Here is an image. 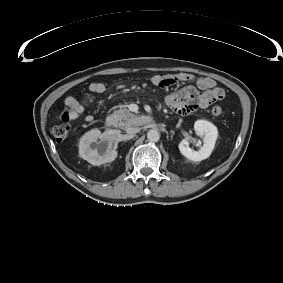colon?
<instances>
[{
	"label": "colon",
	"mask_w": 283,
	"mask_h": 283,
	"mask_svg": "<svg viewBox=\"0 0 283 283\" xmlns=\"http://www.w3.org/2000/svg\"><path fill=\"white\" fill-rule=\"evenodd\" d=\"M212 115L216 118H221L225 114V110L222 106L216 105L211 110ZM70 130V125L66 119H63V122L59 125H56L52 129V135L57 141H63L67 138Z\"/></svg>",
	"instance_id": "1"
}]
</instances>
